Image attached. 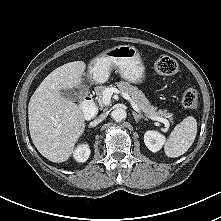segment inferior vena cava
<instances>
[{
    "label": "inferior vena cava",
    "mask_w": 221,
    "mask_h": 221,
    "mask_svg": "<svg viewBox=\"0 0 221 221\" xmlns=\"http://www.w3.org/2000/svg\"><path fill=\"white\" fill-rule=\"evenodd\" d=\"M105 117H106V114H101V115H99V117L96 119V122H101V121H103V120L105 119Z\"/></svg>",
    "instance_id": "602c4592"
}]
</instances>
